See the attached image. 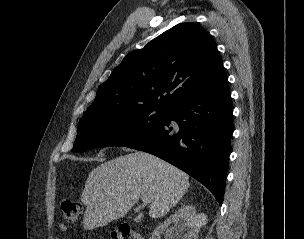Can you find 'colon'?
<instances>
[{
	"label": "colon",
	"instance_id": "1",
	"mask_svg": "<svg viewBox=\"0 0 304 239\" xmlns=\"http://www.w3.org/2000/svg\"><path fill=\"white\" fill-rule=\"evenodd\" d=\"M60 208L64 218L68 222L77 221L82 214L81 204L72 199H62L60 202ZM112 239H143L142 235L133 230L129 225L123 224L118 226L112 232Z\"/></svg>",
	"mask_w": 304,
	"mask_h": 239
}]
</instances>
